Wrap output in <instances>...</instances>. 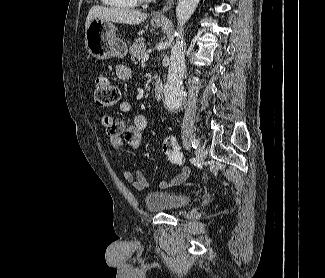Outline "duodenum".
Segmentation results:
<instances>
[{"label": "duodenum", "instance_id": "obj_1", "mask_svg": "<svg viewBox=\"0 0 325 278\" xmlns=\"http://www.w3.org/2000/svg\"><path fill=\"white\" fill-rule=\"evenodd\" d=\"M154 95L157 100H160L162 98L163 93V83L159 77L154 78Z\"/></svg>", "mask_w": 325, "mask_h": 278}]
</instances>
